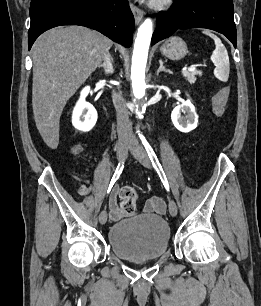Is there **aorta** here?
Wrapping results in <instances>:
<instances>
[{"instance_id":"obj_1","label":"aorta","mask_w":261,"mask_h":306,"mask_svg":"<svg viewBox=\"0 0 261 306\" xmlns=\"http://www.w3.org/2000/svg\"><path fill=\"white\" fill-rule=\"evenodd\" d=\"M152 33V20L146 19L139 27L134 43L131 79L133 94L138 100H141L145 95V69Z\"/></svg>"}]
</instances>
